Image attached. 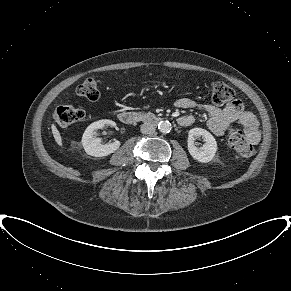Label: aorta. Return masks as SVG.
Returning <instances> with one entry per match:
<instances>
[{"mask_svg":"<svg viewBox=\"0 0 291 291\" xmlns=\"http://www.w3.org/2000/svg\"><path fill=\"white\" fill-rule=\"evenodd\" d=\"M158 129L162 133H169L171 131V123L169 121H160Z\"/></svg>","mask_w":291,"mask_h":291,"instance_id":"762f6f07","label":"aorta"}]
</instances>
